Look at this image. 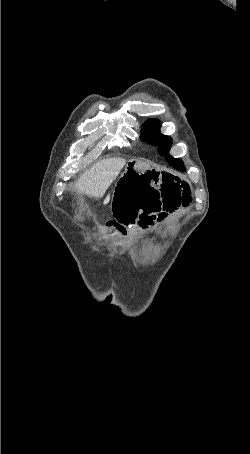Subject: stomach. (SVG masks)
Here are the masks:
<instances>
[{
	"mask_svg": "<svg viewBox=\"0 0 250 454\" xmlns=\"http://www.w3.org/2000/svg\"><path fill=\"white\" fill-rule=\"evenodd\" d=\"M156 173L155 170L148 168L142 163L131 161L127 164L121 176H157Z\"/></svg>",
	"mask_w": 250,
	"mask_h": 454,
	"instance_id": "obj_1",
	"label": "stomach"
}]
</instances>
